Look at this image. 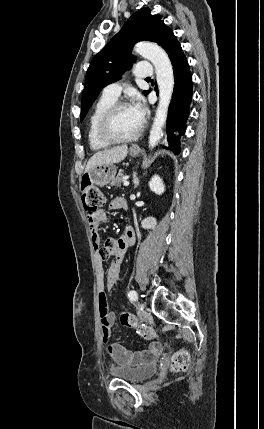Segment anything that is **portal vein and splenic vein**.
I'll return each instance as SVG.
<instances>
[{
	"instance_id": "1",
	"label": "portal vein and splenic vein",
	"mask_w": 264,
	"mask_h": 429,
	"mask_svg": "<svg viewBox=\"0 0 264 429\" xmlns=\"http://www.w3.org/2000/svg\"><path fill=\"white\" fill-rule=\"evenodd\" d=\"M123 185L124 186H128L129 185V181L126 178L124 179Z\"/></svg>"
}]
</instances>
